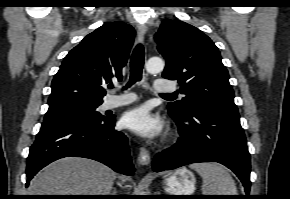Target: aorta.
I'll list each match as a JSON object with an SVG mask.
<instances>
[{
  "mask_svg": "<svg viewBox=\"0 0 290 199\" xmlns=\"http://www.w3.org/2000/svg\"><path fill=\"white\" fill-rule=\"evenodd\" d=\"M165 66L164 61L159 57H152L146 63V70L150 74H155L163 71Z\"/></svg>",
  "mask_w": 290,
  "mask_h": 199,
  "instance_id": "aorta-1",
  "label": "aorta"
}]
</instances>
